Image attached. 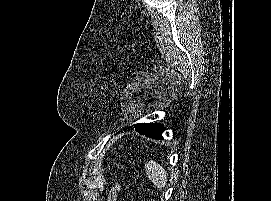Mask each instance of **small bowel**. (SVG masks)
Returning <instances> with one entry per match:
<instances>
[{"label":"small bowel","mask_w":271,"mask_h":201,"mask_svg":"<svg viewBox=\"0 0 271 201\" xmlns=\"http://www.w3.org/2000/svg\"><path fill=\"white\" fill-rule=\"evenodd\" d=\"M109 201H118L117 196H116V192H113L111 194V196L109 197Z\"/></svg>","instance_id":"obj_1"}]
</instances>
